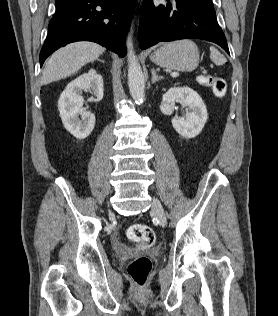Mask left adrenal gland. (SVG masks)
<instances>
[{
	"instance_id": "a2214340",
	"label": "left adrenal gland",
	"mask_w": 278,
	"mask_h": 316,
	"mask_svg": "<svg viewBox=\"0 0 278 316\" xmlns=\"http://www.w3.org/2000/svg\"><path fill=\"white\" fill-rule=\"evenodd\" d=\"M151 73H152L151 82H152L153 84L156 83V82H158V81H160V80H162V79H164V77L157 75V73H156V71H155L154 68L151 69Z\"/></svg>"
}]
</instances>
